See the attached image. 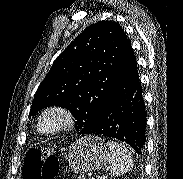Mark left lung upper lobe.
Returning a JSON list of instances; mask_svg holds the SVG:
<instances>
[{
	"label": "left lung upper lobe",
	"instance_id": "1",
	"mask_svg": "<svg viewBox=\"0 0 183 179\" xmlns=\"http://www.w3.org/2000/svg\"><path fill=\"white\" fill-rule=\"evenodd\" d=\"M127 41L115 21L87 27L54 61L29 115L47 106H61L77 118L76 130L88 134L110 100Z\"/></svg>",
	"mask_w": 183,
	"mask_h": 179
}]
</instances>
